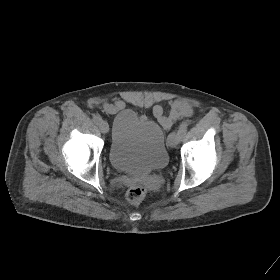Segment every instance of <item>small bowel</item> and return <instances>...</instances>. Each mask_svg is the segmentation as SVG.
<instances>
[{
	"label": "small bowel",
	"mask_w": 280,
	"mask_h": 280,
	"mask_svg": "<svg viewBox=\"0 0 280 280\" xmlns=\"http://www.w3.org/2000/svg\"><path fill=\"white\" fill-rule=\"evenodd\" d=\"M124 106L125 102L123 100H117L113 103L108 101L104 102V109L109 113L121 110ZM153 113L161 125L164 128L169 129L176 120L191 116L193 109L189 103L176 99L171 103V109L167 114L164 113L163 108L160 105L154 107Z\"/></svg>",
	"instance_id": "c3829d8e"
}]
</instances>
